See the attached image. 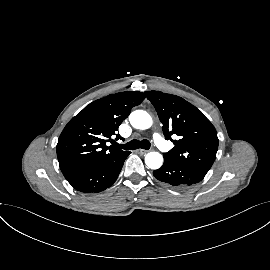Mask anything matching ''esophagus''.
Returning a JSON list of instances; mask_svg holds the SVG:
<instances>
[{
    "instance_id": "34e87169",
    "label": "esophagus",
    "mask_w": 270,
    "mask_h": 270,
    "mask_svg": "<svg viewBox=\"0 0 270 270\" xmlns=\"http://www.w3.org/2000/svg\"><path fill=\"white\" fill-rule=\"evenodd\" d=\"M138 152L143 155L146 154L148 151L145 149H139Z\"/></svg>"
}]
</instances>
